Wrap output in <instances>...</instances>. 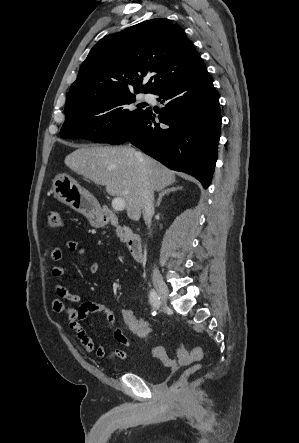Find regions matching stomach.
Wrapping results in <instances>:
<instances>
[{
  "mask_svg": "<svg viewBox=\"0 0 299 443\" xmlns=\"http://www.w3.org/2000/svg\"><path fill=\"white\" fill-rule=\"evenodd\" d=\"M54 197L73 210L84 214L94 227H102L106 221L96 199L67 174H58L53 180Z\"/></svg>",
  "mask_w": 299,
  "mask_h": 443,
  "instance_id": "stomach-1",
  "label": "stomach"
}]
</instances>
